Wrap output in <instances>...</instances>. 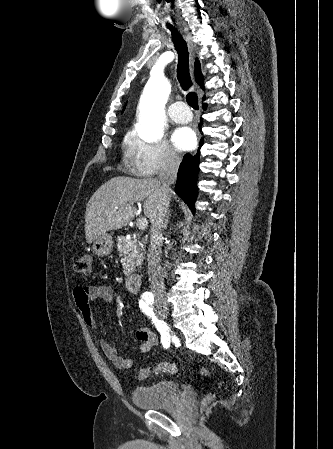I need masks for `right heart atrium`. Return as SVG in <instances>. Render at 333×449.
<instances>
[{"label": "right heart atrium", "instance_id": "right-heart-atrium-1", "mask_svg": "<svg viewBox=\"0 0 333 449\" xmlns=\"http://www.w3.org/2000/svg\"><path fill=\"white\" fill-rule=\"evenodd\" d=\"M127 159L141 177L174 171L180 164L178 153L165 140L147 141L136 135L128 139Z\"/></svg>", "mask_w": 333, "mask_h": 449}]
</instances>
